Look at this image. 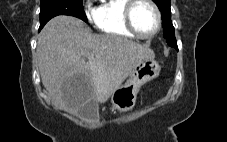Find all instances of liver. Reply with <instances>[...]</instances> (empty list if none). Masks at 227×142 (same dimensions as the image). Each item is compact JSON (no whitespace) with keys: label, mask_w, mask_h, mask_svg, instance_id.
I'll use <instances>...</instances> for the list:
<instances>
[{"label":"liver","mask_w":227,"mask_h":142,"mask_svg":"<svg viewBox=\"0 0 227 142\" xmlns=\"http://www.w3.org/2000/svg\"><path fill=\"white\" fill-rule=\"evenodd\" d=\"M36 55L48 95L58 108L71 113L89 101L105 103L140 62L155 57L150 48L127 38L93 34L71 16H57L44 26ZM74 73H81V78L67 81Z\"/></svg>","instance_id":"6515ba94"}]
</instances>
